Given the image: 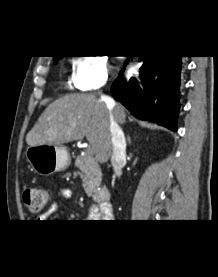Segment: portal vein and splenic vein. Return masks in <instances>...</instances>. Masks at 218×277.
I'll return each mask as SVG.
<instances>
[{
	"mask_svg": "<svg viewBox=\"0 0 218 277\" xmlns=\"http://www.w3.org/2000/svg\"><path fill=\"white\" fill-rule=\"evenodd\" d=\"M93 149L91 147H88L87 150H86V153L90 154V155H93Z\"/></svg>",
	"mask_w": 218,
	"mask_h": 277,
	"instance_id": "portal-vein-and-splenic-vein-1",
	"label": "portal vein and splenic vein"
}]
</instances>
